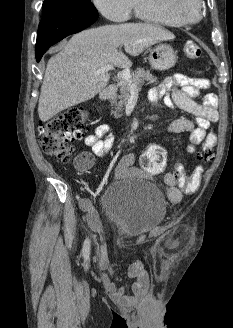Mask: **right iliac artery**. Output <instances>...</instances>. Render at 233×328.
<instances>
[{"instance_id":"obj_1","label":"right iliac artery","mask_w":233,"mask_h":328,"mask_svg":"<svg viewBox=\"0 0 233 328\" xmlns=\"http://www.w3.org/2000/svg\"><path fill=\"white\" fill-rule=\"evenodd\" d=\"M89 252H90V241H89V239H86L84 242V245H83L82 254L84 257H88Z\"/></svg>"}]
</instances>
